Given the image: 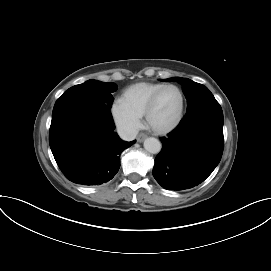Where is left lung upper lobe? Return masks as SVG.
Instances as JSON below:
<instances>
[{
	"mask_svg": "<svg viewBox=\"0 0 271 271\" xmlns=\"http://www.w3.org/2000/svg\"><path fill=\"white\" fill-rule=\"evenodd\" d=\"M162 81H177L182 85V90L187 99V111L191 110L199 104L216 101L213 94L206 86L196 83L190 79L174 77L169 79H162Z\"/></svg>",
	"mask_w": 271,
	"mask_h": 271,
	"instance_id": "1",
	"label": "left lung upper lobe"
}]
</instances>
